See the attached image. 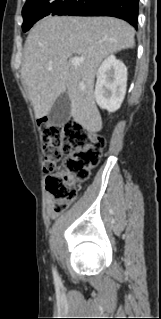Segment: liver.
<instances>
[{
    "instance_id": "liver-1",
    "label": "liver",
    "mask_w": 161,
    "mask_h": 319,
    "mask_svg": "<svg viewBox=\"0 0 161 319\" xmlns=\"http://www.w3.org/2000/svg\"><path fill=\"white\" fill-rule=\"evenodd\" d=\"M135 31L113 17H48L31 30L21 68L36 118L49 114L56 99L67 92L74 121L89 132L102 129L94 101L96 71L109 54L133 48ZM83 59L72 66L70 57Z\"/></svg>"
}]
</instances>
